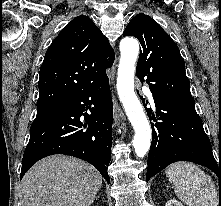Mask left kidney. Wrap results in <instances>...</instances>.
I'll return each mask as SVG.
<instances>
[{
	"label": "left kidney",
	"mask_w": 221,
	"mask_h": 206,
	"mask_svg": "<svg viewBox=\"0 0 221 206\" xmlns=\"http://www.w3.org/2000/svg\"><path fill=\"white\" fill-rule=\"evenodd\" d=\"M165 206H183V204L176 199H170L169 201L166 202Z\"/></svg>",
	"instance_id": "obj_1"
}]
</instances>
